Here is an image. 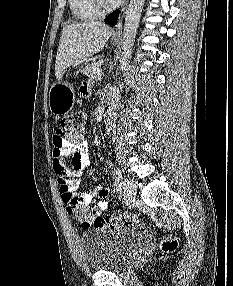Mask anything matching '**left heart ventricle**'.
<instances>
[{
  "label": "left heart ventricle",
  "instance_id": "1",
  "mask_svg": "<svg viewBox=\"0 0 233 286\" xmlns=\"http://www.w3.org/2000/svg\"><path fill=\"white\" fill-rule=\"evenodd\" d=\"M106 4H112L114 3V0H103Z\"/></svg>",
  "mask_w": 233,
  "mask_h": 286
}]
</instances>
